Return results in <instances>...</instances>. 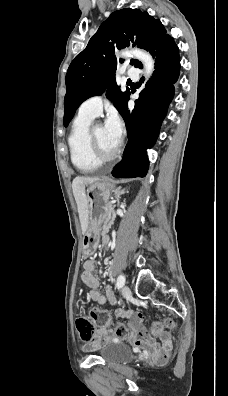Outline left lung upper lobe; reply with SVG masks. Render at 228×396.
Segmentation results:
<instances>
[{
    "instance_id": "obj_1",
    "label": "left lung upper lobe",
    "mask_w": 228,
    "mask_h": 396,
    "mask_svg": "<svg viewBox=\"0 0 228 396\" xmlns=\"http://www.w3.org/2000/svg\"><path fill=\"white\" fill-rule=\"evenodd\" d=\"M165 33L166 30L160 20L154 19L147 12L131 8L113 12L68 68L64 126L69 124L83 101L91 96L101 95L109 84L107 97L121 113L130 92L129 90L121 92L114 79L117 60L112 56L115 49L128 47L131 44L147 50L155 38ZM119 61L123 62L122 59ZM130 64L142 67L138 60L132 59Z\"/></svg>"
}]
</instances>
